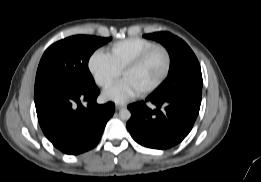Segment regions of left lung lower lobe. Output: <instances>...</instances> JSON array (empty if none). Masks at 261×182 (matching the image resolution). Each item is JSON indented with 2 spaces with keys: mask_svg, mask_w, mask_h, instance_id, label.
<instances>
[{
  "mask_svg": "<svg viewBox=\"0 0 261 182\" xmlns=\"http://www.w3.org/2000/svg\"><path fill=\"white\" fill-rule=\"evenodd\" d=\"M202 87H193L165 98L150 95L128 106L127 129L133 139L149 148L167 149L181 142L191 131L199 113ZM146 102L156 106L151 110Z\"/></svg>",
  "mask_w": 261,
  "mask_h": 182,
  "instance_id": "left-lung-lower-lobe-1",
  "label": "left lung lower lobe"
}]
</instances>
